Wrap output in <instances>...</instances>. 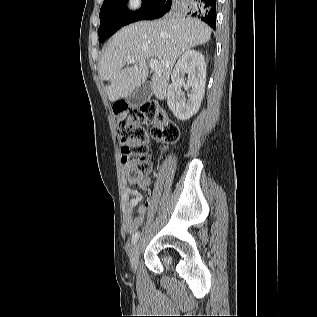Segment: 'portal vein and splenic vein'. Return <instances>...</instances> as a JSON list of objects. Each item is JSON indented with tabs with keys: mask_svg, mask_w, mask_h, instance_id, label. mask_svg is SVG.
Listing matches in <instances>:
<instances>
[{
	"mask_svg": "<svg viewBox=\"0 0 317 317\" xmlns=\"http://www.w3.org/2000/svg\"><path fill=\"white\" fill-rule=\"evenodd\" d=\"M126 61H127V63H134V62H135L134 58L131 57V56H128V57L126 58ZM158 65H159V62H158V60H156V59H151L150 62H149V67H150L152 70L157 69Z\"/></svg>",
	"mask_w": 317,
	"mask_h": 317,
	"instance_id": "obj_1",
	"label": "portal vein and splenic vein"
}]
</instances>
